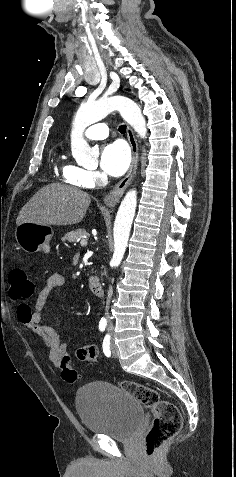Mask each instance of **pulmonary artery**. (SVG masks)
<instances>
[{
  "label": "pulmonary artery",
  "mask_w": 236,
  "mask_h": 477,
  "mask_svg": "<svg viewBox=\"0 0 236 477\" xmlns=\"http://www.w3.org/2000/svg\"><path fill=\"white\" fill-rule=\"evenodd\" d=\"M85 137L92 140H103L109 135V127L105 123L90 125L84 133Z\"/></svg>",
  "instance_id": "pulmonary-artery-1"
}]
</instances>
